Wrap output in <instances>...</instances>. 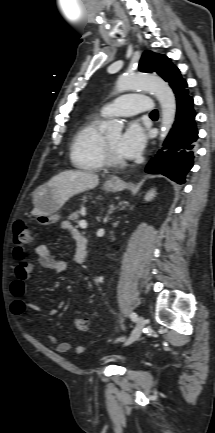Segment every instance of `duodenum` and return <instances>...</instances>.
<instances>
[{
    "mask_svg": "<svg viewBox=\"0 0 215 433\" xmlns=\"http://www.w3.org/2000/svg\"><path fill=\"white\" fill-rule=\"evenodd\" d=\"M80 256H79V263L83 264L86 261V257H87V243L86 240L83 241V243L80 246V250H79Z\"/></svg>",
    "mask_w": 215,
    "mask_h": 433,
    "instance_id": "1",
    "label": "duodenum"
}]
</instances>
